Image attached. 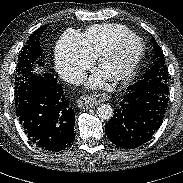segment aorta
<instances>
[{"label":"aorta","instance_id":"1","mask_svg":"<svg viewBox=\"0 0 183 183\" xmlns=\"http://www.w3.org/2000/svg\"><path fill=\"white\" fill-rule=\"evenodd\" d=\"M98 117L103 120H109L113 116V109L109 104H100L97 108Z\"/></svg>","mask_w":183,"mask_h":183}]
</instances>
